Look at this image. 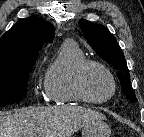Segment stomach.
Here are the masks:
<instances>
[{"mask_svg":"<svg viewBox=\"0 0 144 137\" xmlns=\"http://www.w3.org/2000/svg\"><path fill=\"white\" fill-rule=\"evenodd\" d=\"M111 128L104 121H96L85 125L82 129V137H110Z\"/></svg>","mask_w":144,"mask_h":137,"instance_id":"obj_1","label":"stomach"}]
</instances>
